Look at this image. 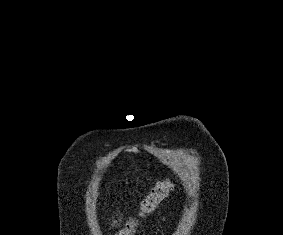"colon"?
Here are the masks:
<instances>
[{"label": "colon", "mask_w": 283, "mask_h": 235, "mask_svg": "<svg viewBox=\"0 0 283 235\" xmlns=\"http://www.w3.org/2000/svg\"><path fill=\"white\" fill-rule=\"evenodd\" d=\"M172 182L169 179L158 182L141 203V213L151 212L154 207L170 192Z\"/></svg>", "instance_id": "5ec220e1"}]
</instances>
